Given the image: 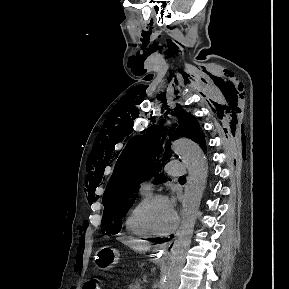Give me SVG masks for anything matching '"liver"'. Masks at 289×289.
Segmentation results:
<instances>
[{
	"instance_id": "6515ba94",
	"label": "liver",
	"mask_w": 289,
	"mask_h": 289,
	"mask_svg": "<svg viewBox=\"0 0 289 289\" xmlns=\"http://www.w3.org/2000/svg\"><path fill=\"white\" fill-rule=\"evenodd\" d=\"M122 242L138 252H145L150 248L148 244L143 243L142 241L136 239L123 240Z\"/></svg>"
}]
</instances>
